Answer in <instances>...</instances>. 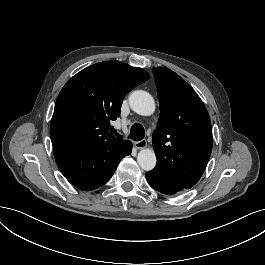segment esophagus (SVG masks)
I'll return each instance as SVG.
<instances>
[{
  "label": "esophagus",
  "mask_w": 265,
  "mask_h": 265,
  "mask_svg": "<svg viewBox=\"0 0 265 265\" xmlns=\"http://www.w3.org/2000/svg\"><path fill=\"white\" fill-rule=\"evenodd\" d=\"M134 145H135L136 149H144L147 147V141L141 140V141L135 142Z\"/></svg>",
  "instance_id": "esophagus-1"
}]
</instances>
